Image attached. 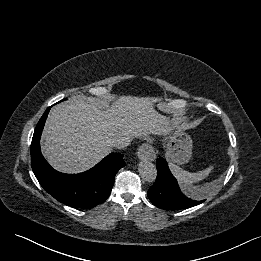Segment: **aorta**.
Here are the masks:
<instances>
[{
    "instance_id": "aorta-1",
    "label": "aorta",
    "mask_w": 261,
    "mask_h": 261,
    "mask_svg": "<svg viewBox=\"0 0 261 261\" xmlns=\"http://www.w3.org/2000/svg\"><path fill=\"white\" fill-rule=\"evenodd\" d=\"M139 174L146 182H154L157 177V169L155 165L149 161H142L138 168Z\"/></svg>"
}]
</instances>
